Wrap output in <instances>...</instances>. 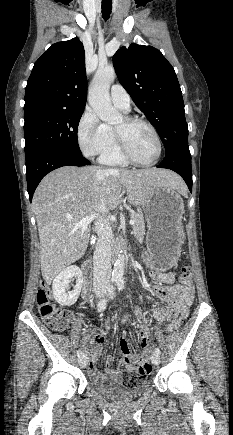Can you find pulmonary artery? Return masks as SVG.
Here are the masks:
<instances>
[{"instance_id": "obj_1", "label": "pulmonary artery", "mask_w": 233, "mask_h": 435, "mask_svg": "<svg viewBox=\"0 0 233 435\" xmlns=\"http://www.w3.org/2000/svg\"><path fill=\"white\" fill-rule=\"evenodd\" d=\"M112 103L125 112L130 110V96L120 85H113L110 90Z\"/></svg>"}]
</instances>
